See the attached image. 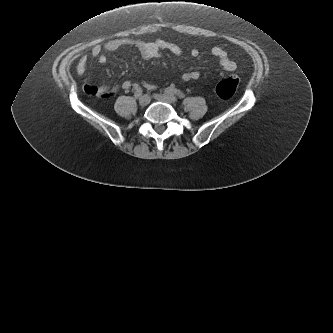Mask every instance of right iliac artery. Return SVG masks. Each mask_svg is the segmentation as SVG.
I'll list each match as a JSON object with an SVG mask.
<instances>
[{"mask_svg": "<svg viewBox=\"0 0 333 333\" xmlns=\"http://www.w3.org/2000/svg\"><path fill=\"white\" fill-rule=\"evenodd\" d=\"M142 92H143V90H142L141 88H139V89L136 90L134 96H135L136 98H139V97L142 95Z\"/></svg>", "mask_w": 333, "mask_h": 333, "instance_id": "1", "label": "right iliac artery"}]
</instances>
